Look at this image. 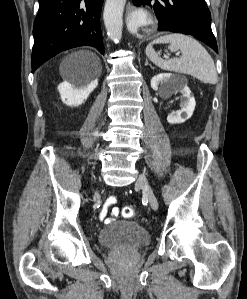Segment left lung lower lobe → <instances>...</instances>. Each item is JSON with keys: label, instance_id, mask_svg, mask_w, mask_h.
I'll return each mask as SVG.
<instances>
[{"label": "left lung lower lobe", "instance_id": "obj_1", "mask_svg": "<svg viewBox=\"0 0 247 299\" xmlns=\"http://www.w3.org/2000/svg\"><path fill=\"white\" fill-rule=\"evenodd\" d=\"M133 4H152L159 20V31L192 35L218 53L211 30V14L205 0H133Z\"/></svg>", "mask_w": 247, "mask_h": 299}]
</instances>
